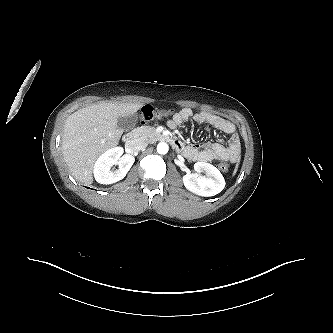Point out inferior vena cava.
<instances>
[{"label": "inferior vena cava", "mask_w": 333, "mask_h": 333, "mask_svg": "<svg viewBox=\"0 0 333 333\" xmlns=\"http://www.w3.org/2000/svg\"><path fill=\"white\" fill-rule=\"evenodd\" d=\"M147 142L143 139H135L126 144L127 149L130 152H138L147 147Z\"/></svg>", "instance_id": "obj_1"}]
</instances>
